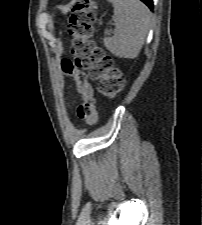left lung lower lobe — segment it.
Returning <instances> with one entry per match:
<instances>
[{
  "label": "left lung lower lobe",
  "instance_id": "1",
  "mask_svg": "<svg viewBox=\"0 0 202 225\" xmlns=\"http://www.w3.org/2000/svg\"><path fill=\"white\" fill-rule=\"evenodd\" d=\"M144 2L150 9L153 8V0H141Z\"/></svg>",
  "mask_w": 202,
  "mask_h": 225
}]
</instances>
